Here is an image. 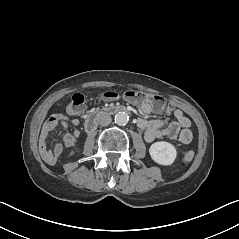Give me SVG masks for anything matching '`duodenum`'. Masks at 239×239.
<instances>
[{
  "label": "duodenum",
  "instance_id": "410a0bca",
  "mask_svg": "<svg viewBox=\"0 0 239 239\" xmlns=\"http://www.w3.org/2000/svg\"><path fill=\"white\" fill-rule=\"evenodd\" d=\"M122 111H126V108L123 106H113V107H98L96 109H94L93 111H91L87 118H86V122H85V129L87 132H92L99 120L106 116V115H110V114H115L118 112H122Z\"/></svg>",
  "mask_w": 239,
  "mask_h": 239
}]
</instances>
